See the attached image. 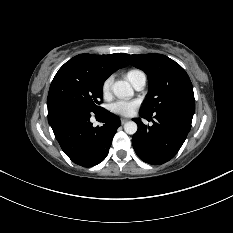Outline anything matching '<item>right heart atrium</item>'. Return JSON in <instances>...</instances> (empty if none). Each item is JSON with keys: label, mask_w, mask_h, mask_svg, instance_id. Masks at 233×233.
<instances>
[{"label": "right heart atrium", "mask_w": 233, "mask_h": 233, "mask_svg": "<svg viewBox=\"0 0 233 233\" xmlns=\"http://www.w3.org/2000/svg\"><path fill=\"white\" fill-rule=\"evenodd\" d=\"M111 83H112L111 77H108L103 81L101 85V92L104 97H108L110 95Z\"/></svg>", "instance_id": "d8ad5b80"}]
</instances>
